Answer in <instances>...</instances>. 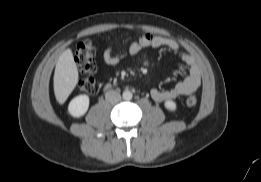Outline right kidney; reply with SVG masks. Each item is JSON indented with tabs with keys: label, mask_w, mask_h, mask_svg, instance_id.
<instances>
[{
	"label": "right kidney",
	"mask_w": 261,
	"mask_h": 182,
	"mask_svg": "<svg viewBox=\"0 0 261 182\" xmlns=\"http://www.w3.org/2000/svg\"><path fill=\"white\" fill-rule=\"evenodd\" d=\"M89 108V97L79 95L73 98L68 106V112L71 116L79 118L83 116Z\"/></svg>",
	"instance_id": "right-kidney-1"
}]
</instances>
